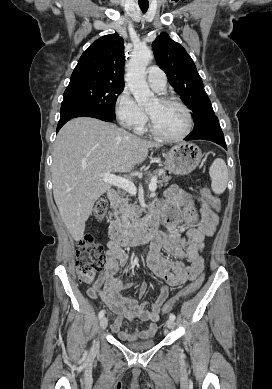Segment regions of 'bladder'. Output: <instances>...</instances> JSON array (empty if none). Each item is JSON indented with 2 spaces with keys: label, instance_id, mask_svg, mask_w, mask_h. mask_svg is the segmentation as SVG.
Returning <instances> with one entry per match:
<instances>
[{
  "label": "bladder",
  "instance_id": "obj_1",
  "mask_svg": "<svg viewBox=\"0 0 272 389\" xmlns=\"http://www.w3.org/2000/svg\"><path fill=\"white\" fill-rule=\"evenodd\" d=\"M156 342L154 340L146 341H126L125 346L134 351H144L154 347Z\"/></svg>",
  "mask_w": 272,
  "mask_h": 389
}]
</instances>
